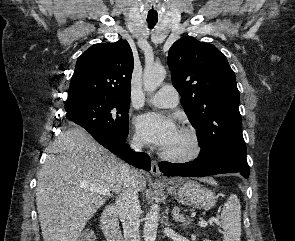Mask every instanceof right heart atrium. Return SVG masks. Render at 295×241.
<instances>
[{
	"mask_svg": "<svg viewBox=\"0 0 295 241\" xmlns=\"http://www.w3.org/2000/svg\"><path fill=\"white\" fill-rule=\"evenodd\" d=\"M132 143L136 147H141L143 145V142H142L141 138L138 135L133 136Z\"/></svg>",
	"mask_w": 295,
	"mask_h": 241,
	"instance_id": "1",
	"label": "right heart atrium"
}]
</instances>
